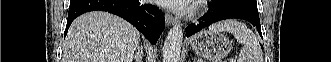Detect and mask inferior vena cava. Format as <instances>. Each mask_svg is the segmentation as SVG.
<instances>
[{
  "mask_svg": "<svg viewBox=\"0 0 331 62\" xmlns=\"http://www.w3.org/2000/svg\"><path fill=\"white\" fill-rule=\"evenodd\" d=\"M141 54H142V48L138 47L137 55H136V59H137L136 61L141 62V58H142Z\"/></svg>",
  "mask_w": 331,
  "mask_h": 62,
  "instance_id": "inferior-vena-cava-1",
  "label": "inferior vena cava"
}]
</instances>
